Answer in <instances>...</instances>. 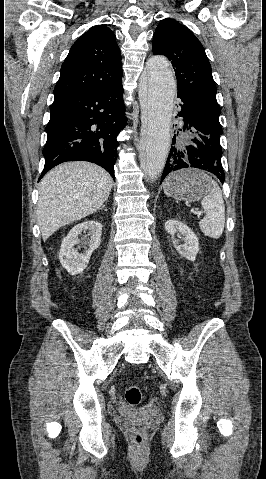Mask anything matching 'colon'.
<instances>
[{"mask_svg":"<svg viewBox=\"0 0 266 479\" xmlns=\"http://www.w3.org/2000/svg\"><path fill=\"white\" fill-rule=\"evenodd\" d=\"M125 400L127 404L132 407L140 405L142 402L141 389L135 385H130L125 391ZM132 438L136 445H141L145 440V431L143 429H136Z\"/></svg>","mask_w":266,"mask_h":479,"instance_id":"1","label":"colon"}]
</instances>
